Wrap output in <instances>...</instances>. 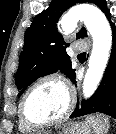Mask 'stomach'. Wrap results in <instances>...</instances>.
<instances>
[{
  "label": "stomach",
  "mask_w": 116,
  "mask_h": 134,
  "mask_svg": "<svg viewBox=\"0 0 116 134\" xmlns=\"http://www.w3.org/2000/svg\"><path fill=\"white\" fill-rule=\"evenodd\" d=\"M45 134H51L47 132ZM58 134H91V126L86 122H74L66 125Z\"/></svg>",
  "instance_id": "0dacf381"
}]
</instances>
